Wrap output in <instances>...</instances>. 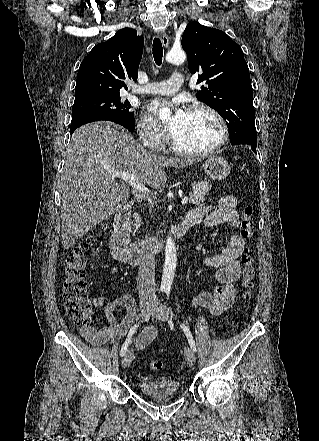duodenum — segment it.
I'll list each match as a JSON object with an SVG mask.
<instances>
[{
    "label": "duodenum",
    "mask_w": 319,
    "mask_h": 441,
    "mask_svg": "<svg viewBox=\"0 0 319 441\" xmlns=\"http://www.w3.org/2000/svg\"><path fill=\"white\" fill-rule=\"evenodd\" d=\"M132 203H127L117 212L114 218V229L110 239V250L112 256L120 262L136 266L142 262L149 254L158 251L165 240L158 236L129 243L130 215ZM188 230V226L181 222L169 230V235L173 238L183 236Z\"/></svg>",
    "instance_id": "1"
}]
</instances>
